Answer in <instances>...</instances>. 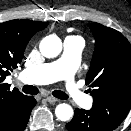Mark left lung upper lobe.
I'll return each instance as SVG.
<instances>
[{
  "label": "left lung upper lobe",
  "mask_w": 131,
  "mask_h": 131,
  "mask_svg": "<svg viewBox=\"0 0 131 131\" xmlns=\"http://www.w3.org/2000/svg\"><path fill=\"white\" fill-rule=\"evenodd\" d=\"M96 44L86 84L93 97L91 110L115 129L131 108V46L118 31L91 23Z\"/></svg>",
  "instance_id": "1"
}]
</instances>
